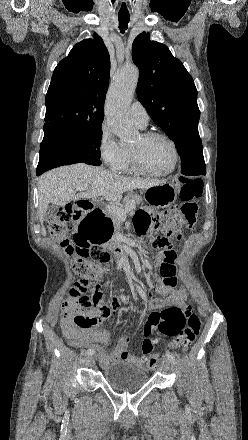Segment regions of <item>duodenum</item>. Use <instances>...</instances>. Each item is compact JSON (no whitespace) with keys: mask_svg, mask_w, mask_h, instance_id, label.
<instances>
[{"mask_svg":"<svg viewBox=\"0 0 248 440\" xmlns=\"http://www.w3.org/2000/svg\"><path fill=\"white\" fill-rule=\"evenodd\" d=\"M75 206L80 210L85 211V209H93V202L90 200H80L75 203ZM113 252L121 264L126 265L129 263L132 255L124 245L115 246Z\"/></svg>","mask_w":248,"mask_h":440,"instance_id":"duodenum-1","label":"duodenum"}]
</instances>
